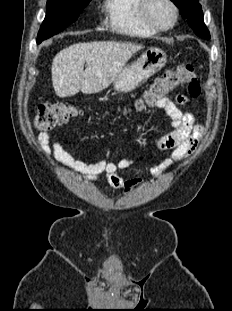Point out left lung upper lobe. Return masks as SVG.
Wrapping results in <instances>:
<instances>
[{
  "instance_id": "left-lung-upper-lobe-1",
  "label": "left lung upper lobe",
  "mask_w": 232,
  "mask_h": 311,
  "mask_svg": "<svg viewBox=\"0 0 232 311\" xmlns=\"http://www.w3.org/2000/svg\"><path fill=\"white\" fill-rule=\"evenodd\" d=\"M181 11L194 32L205 39L210 38L209 31L204 24L203 12L199 0H171Z\"/></svg>"
}]
</instances>
